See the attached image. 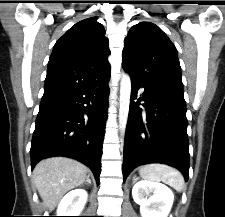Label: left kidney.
I'll return each mask as SVG.
<instances>
[{"instance_id": "left-kidney-1", "label": "left kidney", "mask_w": 225, "mask_h": 217, "mask_svg": "<svg viewBox=\"0 0 225 217\" xmlns=\"http://www.w3.org/2000/svg\"><path fill=\"white\" fill-rule=\"evenodd\" d=\"M142 217H167L174 201L172 191L164 184L141 180L132 189Z\"/></svg>"}]
</instances>
